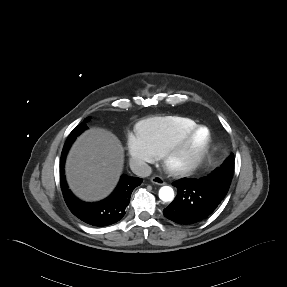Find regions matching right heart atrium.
Here are the masks:
<instances>
[{
    "label": "right heart atrium",
    "mask_w": 287,
    "mask_h": 287,
    "mask_svg": "<svg viewBox=\"0 0 287 287\" xmlns=\"http://www.w3.org/2000/svg\"><path fill=\"white\" fill-rule=\"evenodd\" d=\"M128 150L131 163L140 171L157 160V153L148 139L142 134H134L128 139Z\"/></svg>",
    "instance_id": "right-heart-atrium-1"
}]
</instances>
